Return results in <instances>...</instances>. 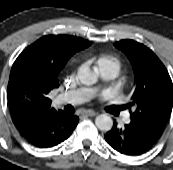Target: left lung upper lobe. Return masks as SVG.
Wrapping results in <instances>:
<instances>
[{
	"label": "left lung upper lobe",
	"instance_id": "obj_1",
	"mask_svg": "<svg viewBox=\"0 0 173 170\" xmlns=\"http://www.w3.org/2000/svg\"><path fill=\"white\" fill-rule=\"evenodd\" d=\"M115 47L122 50L134 71L135 89L130 109L136 120L163 133L172 110L173 85L168 71L159 58L145 45L133 40H121Z\"/></svg>",
	"mask_w": 173,
	"mask_h": 170
}]
</instances>
